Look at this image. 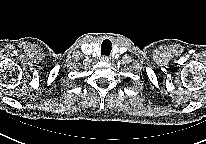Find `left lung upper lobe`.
Here are the masks:
<instances>
[{
    "mask_svg": "<svg viewBox=\"0 0 206 144\" xmlns=\"http://www.w3.org/2000/svg\"><path fill=\"white\" fill-rule=\"evenodd\" d=\"M126 81H130V78H127Z\"/></svg>",
    "mask_w": 206,
    "mask_h": 144,
    "instance_id": "left-lung-upper-lobe-1",
    "label": "left lung upper lobe"
}]
</instances>
